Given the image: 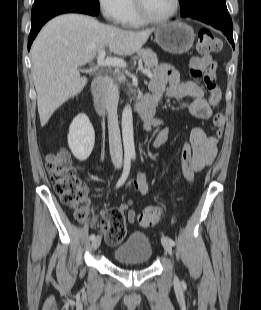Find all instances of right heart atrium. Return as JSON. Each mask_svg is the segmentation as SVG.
Masks as SVG:
<instances>
[{
  "label": "right heart atrium",
  "instance_id": "right-heart-atrium-1",
  "mask_svg": "<svg viewBox=\"0 0 261 310\" xmlns=\"http://www.w3.org/2000/svg\"><path fill=\"white\" fill-rule=\"evenodd\" d=\"M98 7L105 19L121 24L129 9V0H97Z\"/></svg>",
  "mask_w": 261,
  "mask_h": 310
}]
</instances>
